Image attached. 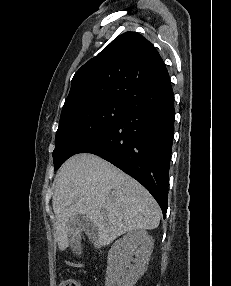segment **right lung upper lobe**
I'll use <instances>...</instances> for the list:
<instances>
[{
    "label": "right lung upper lobe",
    "mask_w": 231,
    "mask_h": 286,
    "mask_svg": "<svg viewBox=\"0 0 231 286\" xmlns=\"http://www.w3.org/2000/svg\"><path fill=\"white\" fill-rule=\"evenodd\" d=\"M167 79L153 44L136 32L123 33L75 73L61 117L104 101L126 103Z\"/></svg>",
    "instance_id": "obj_1"
}]
</instances>
